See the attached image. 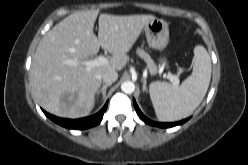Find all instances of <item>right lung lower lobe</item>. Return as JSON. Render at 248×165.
<instances>
[{"instance_id":"98d812e1","label":"right lung lower lobe","mask_w":248,"mask_h":165,"mask_svg":"<svg viewBox=\"0 0 248 165\" xmlns=\"http://www.w3.org/2000/svg\"><path fill=\"white\" fill-rule=\"evenodd\" d=\"M107 109V103L104 105V107L95 115L86 117V118H81V119H76V120H71V119H65V118H58L56 116H53L45 111L44 114L49 117L51 120L56 122L57 124L66 127L68 129H87L93 126H96L99 124L103 118V114Z\"/></svg>"}]
</instances>
